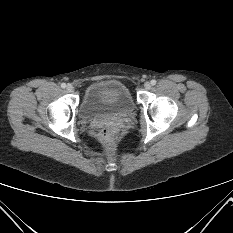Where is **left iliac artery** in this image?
<instances>
[{"mask_svg": "<svg viewBox=\"0 0 233 233\" xmlns=\"http://www.w3.org/2000/svg\"><path fill=\"white\" fill-rule=\"evenodd\" d=\"M151 84H152V85H155V84H156V80H154V79L151 80Z\"/></svg>", "mask_w": 233, "mask_h": 233, "instance_id": "left-iliac-artery-1", "label": "left iliac artery"}]
</instances>
